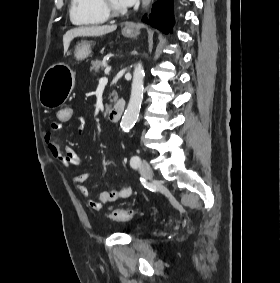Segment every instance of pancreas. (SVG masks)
Here are the masks:
<instances>
[{"label":"pancreas","mask_w":280,"mask_h":283,"mask_svg":"<svg viewBox=\"0 0 280 283\" xmlns=\"http://www.w3.org/2000/svg\"><path fill=\"white\" fill-rule=\"evenodd\" d=\"M107 66V61L105 59L100 60V59H96L94 61L91 62V67L90 69L94 71V73H98L101 70H103L105 67ZM114 96L113 100L111 101H116L117 100V93L115 91L112 92V94ZM108 108V106H106Z\"/></svg>","instance_id":"cf45deb5"}]
</instances>
